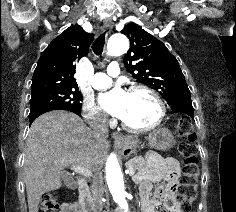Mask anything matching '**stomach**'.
<instances>
[{"label":"stomach","instance_id":"1","mask_svg":"<svg viewBox=\"0 0 236 212\" xmlns=\"http://www.w3.org/2000/svg\"><path fill=\"white\" fill-rule=\"evenodd\" d=\"M147 141L152 149L159 151H166L170 149L175 143L172 133L166 128H159L149 133ZM141 144L142 141L138 136H128L126 138L125 144L123 145V148L126 153L133 154L136 153Z\"/></svg>","mask_w":236,"mask_h":212}]
</instances>
